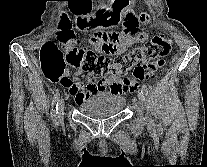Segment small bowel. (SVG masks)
Returning a JSON list of instances; mask_svg holds the SVG:
<instances>
[{
  "label": "small bowel",
  "instance_id": "1",
  "mask_svg": "<svg viewBox=\"0 0 207 167\" xmlns=\"http://www.w3.org/2000/svg\"><path fill=\"white\" fill-rule=\"evenodd\" d=\"M131 0H109L106 5L98 10L96 19L87 18L86 14H91L93 1H69L68 9H71L73 17H77V24L84 29L96 28L90 37L89 43L100 54L107 56H119L126 49L136 43H145L149 39L146 32L138 33V26L142 22H148L146 14L135 16L133 13H125L130 9ZM122 17H125L123 33H115L103 30L104 28L122 24ZM126 27V28H125ZM113 71L105 79L95 80L90 75L77 70L72 73L70 68L64 67L62 77L58 81L70 95L75 97L77 104L85 102L90 96L96 94L122 95L133 92L137 89V82L129 79H122L123 74L116 66H112Z\"/></svg>",
  "mask_w": 207,
  "mask_h": 167
}]
</instances>
